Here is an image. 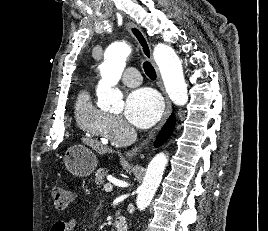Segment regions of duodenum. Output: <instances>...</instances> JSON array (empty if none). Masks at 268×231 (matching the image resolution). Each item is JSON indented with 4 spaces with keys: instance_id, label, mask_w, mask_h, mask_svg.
Masks as SVG:
<instances>
[{
    "instance_id": "1",
    "label": "duodenum",
    "mask_w": 268,
    "mask_h": 231,
    "mask_svg": "<svg viewBox=\"0 0 268 231\" xmlns=\"http://www.w3.org/2000/svg\"><path fill=\"white\" fill-rule=\"evenodd\" d=\"M115 231H127L128 224L124 216L120 215L116 218L114 223Z\"/></svg>"
}]
</instances>
